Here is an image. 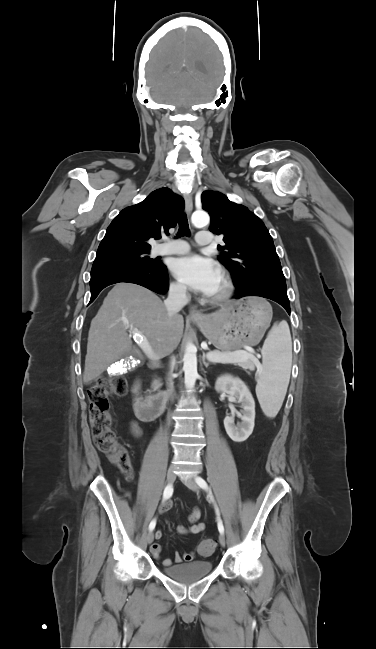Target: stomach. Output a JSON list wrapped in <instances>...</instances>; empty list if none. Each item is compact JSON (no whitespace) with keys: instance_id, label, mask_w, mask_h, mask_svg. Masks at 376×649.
<instances>
[{"instance_id":"stomach-1","label":"stomach","mask_w":376,"mask_h":649,"mask_svg":"<svg viewBox=\"0 0 376 649\" xmlns=\"http://www.w3.org/2000/svg\"><path fill=\"white\" fill-rule=\"evenodd\" d=\"M272 308L260 298L231 301L226 307L194 319L203 335L221 351L258 344L270 324Z\"/></svg>"}]
</instances>
